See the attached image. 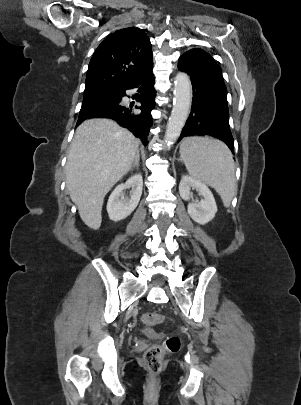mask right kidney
<instances>
[{
  "instance_id": "ca27d5eb",
  "label": "right kidney",
  "mask_w": 301,
  "mask_h": 405,
  "mask_svg": "<svg viewBox=\"0 0 301 405\" xmlns=\"http://www.w3.org/2000/svg\"><path fill=\"white\" fill-rule=\"evenodd\" d=\"M143 179L141 174L131 176L124 184L118 185L107 202V212L113 221H120L129 216L137 207L142 195ZM132 188L130 198H124L123 190Z\"/></svg>"
}]
</instances>
